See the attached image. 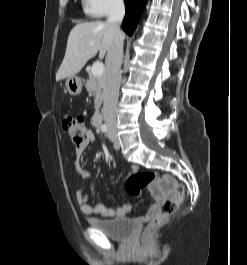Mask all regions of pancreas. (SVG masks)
Listing matches in <instances>:
<instances>
[{"mask_svg":"<svg viewBox=\"0 0 247 265\" xmlns=\"http://www.w3.org/2000/svg\"><path fill=\"white\" fill-rule=\"evenodd\" d=\"M85 87L89 93H92L94 95L95 111L98 112L102 104V101L104 99L105 76L104 75L95 76L90 71L89 78L86 82Z\"/></svg>","mask_w":247,"mask_h":265,"instance_id":"pancreas-1","label":"pancreas"}]
</instances>
